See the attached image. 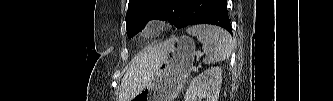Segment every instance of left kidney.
Segmentation results:
<instances>
[{"label":"left kidney","mask_w":333,"mask_h":101,"mask_svg":"<svg viewBox=\"0 0 333 101\" xmlns=\"http://www.w3.org/2000/svg\"><path fill=\"white\" fill-rule=\"evenodd\" d=\"M221 83V67H211L191 81L184 97L185 101H217Z\"/></svg>","instance_id":"obj_1"}]
</instances>
